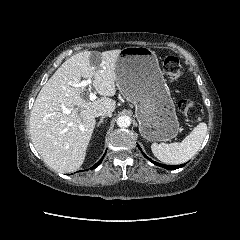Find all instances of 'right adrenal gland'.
<instances>
[{
    "label": "right adrenal gland",
    "mask_w": 240,
    "mask_h": 240,
    "mask_svg": "<svg viewBox=\"0 0 240 240\" xmlns=\"http://www.w3.org/2000/svg\"><path fill=\"white\" fill-rule=\"evenodd\" d=\"M104 118H105V116H102V117L100 118L99 122L97 123V127H99L101 124H103Z\"/></svg>",
    "instance_id": "1"
}]
</instances>
